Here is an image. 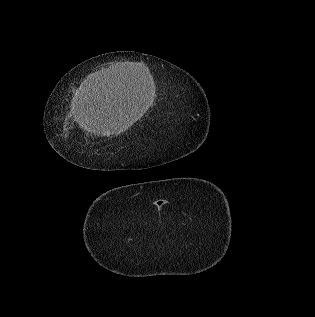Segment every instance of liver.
<instances>
[{"label": "liver", "instance_id": "6515ba94", "mask_svg": "<svg viewBox=\"0 0 315 317\" xmlns=\"http://www.w3.org/2000/svg\"><path fill=\"white\" fill-rule=\"evenodd\" d=\"M135 66L127 63L121 67L127 71ZM113 71L116 73L117 68ZM109 80L111 83L103 81L97 86L89 85L81 89L75 118L80 128L88 133L103 136L119 135L128 130L138 118L131 104L121 99L118 90L120 82Z\"/></svg>", "mask_w": 315, "mask_h": 317}]
</instances>
